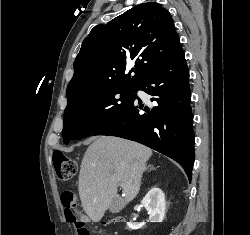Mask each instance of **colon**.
<instances>
[{
	"mask_svg": "<svg viewBox=\"0 0 250 235\" xmlns=\"http://www.w3.org/2000/svg\"><path fill=\"white\" fill-rule=\"evenodd\" d=\"M53 165L55 169L56 178L60 182H67L72 180L78 171L76 161L67 157L63 153L53 154ZM61 201L65 207L66 217L77 225L79 235H90L89 228L84 222H78L76 220L75 213V196L72 192H64L61 195ZM123 220L121 218H114L110 223H119Z\"/></svg>",
	"mask_w": 250,
	"mask_h": 235,
	"instance_id": "colon-1",
	"label": "colon"
}]
</instances>
